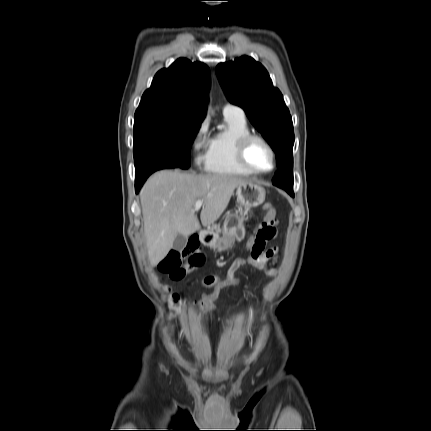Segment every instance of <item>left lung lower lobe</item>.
<instances>
[{
  "instance_id": "0a47b994",
  "label": "left lung lower lobe",
  "mask_w": 431,
  "mask_h": 431,
  "mask_svg": "<svg viewBox=\"0 0 431 431\" xmlns=\"http://www.w3.org/2000/svg\"><path fill=\"white\" fill-rule=\"evenodd\" d=\"M291 196H293L294 194H293V192L291 191V192H289V191H287Z\"/></svg>"
}]
</instances>
